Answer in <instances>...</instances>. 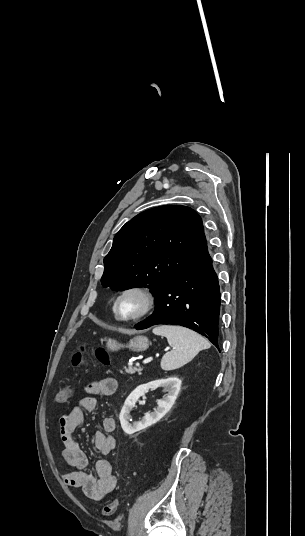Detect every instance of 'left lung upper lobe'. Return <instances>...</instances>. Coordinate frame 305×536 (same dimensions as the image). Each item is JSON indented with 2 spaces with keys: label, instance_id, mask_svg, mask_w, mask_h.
I'll return each instance as SVG.
<instances>
[{
  "label": "left lung upper lobe",
  "instance_id": "5c2ea615",
  "mask_svg": "<svg viewBox=\"0 0 305 536\" xmlns=\"http://www.w3.org/2000/svg\"><path fill=\"white\" fill-rule=\"evenodd\" d=\"M206 246L201 217L191 208L146 210L115 235L101 283L112 290L148 286L156 295Z\"/></svg>",
  "mask_w": 305,
  "mask_h": 536
}]
</instances>
